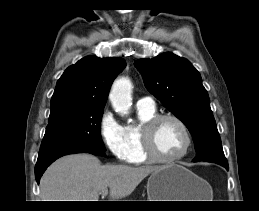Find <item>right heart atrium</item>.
Here are the masks:
<instances>
[{
	"instance_id": "right-heart-atrium-1",
	"label": "right heart atrium",
	"mask_w": 259,
	"mask_h": 211,
	"mask_svg": "<svg viewBox=\"0 0 259 211\" xmlns=\"http://www.w3.org/2000/svg\"><path fill=\"white\" fill-rule=\"evenodd\" d=\"M99 135L107 150L116 159L123 160L125 150L123 127L110 110H105L100 116Z\"/></svg>"
}]
</instances>
